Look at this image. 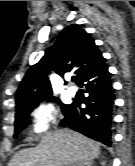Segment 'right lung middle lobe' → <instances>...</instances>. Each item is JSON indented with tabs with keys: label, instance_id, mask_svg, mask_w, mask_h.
I'll return each mask as SVG.
<instances>
[{
	"label": "right lung middle lobe",
	"instance_id": "dd1d6c3e",
	"mask_svg": "<svg viewBox=\"0 0 135 166\" xmlns=\"http://www.w3.org/2000/svg\"><path fill=\"white\" fill-rule=\"evenodd\" d=\"M47 100L59 102V100L56 97H50ZM39 103L40 102L35 103V104H31V105H27V106L21 107V108L16 110L14 137H17L18 132H20L26 126L29 114ZM68 107H69V105L62 104L61 105L62 112L64 113Z\"/></svg>",
	"mask_w": 135,
	"mask_h": 166
}]
</instances>
